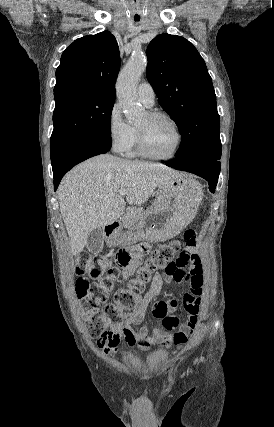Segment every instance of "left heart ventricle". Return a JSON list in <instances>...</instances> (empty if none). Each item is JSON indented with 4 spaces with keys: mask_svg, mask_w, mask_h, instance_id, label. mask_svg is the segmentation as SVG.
Returning a JSON list of instances; mask_svg holds the SVG:
<instances>
[{
    "mask_svg": "<svg viewBox=\"0 0 274 427\" xmlns=\"http://www.w3.org/2000/svg\"><path fill=\"white\" fill-rule=\"evenodd\" d=\"M136 127L141 131L148 152L156 156L170 154L176 144V134L172 125L165 119H150L142 116Z\"/></svg>",
    "mask_w": 274,
    "mask_h": 427,
    "instance_id": "obj_1",
    "label": "left heart ventricle"
}]
</instances>
